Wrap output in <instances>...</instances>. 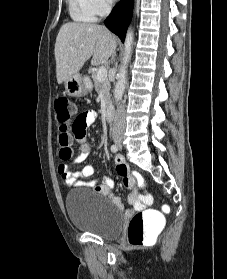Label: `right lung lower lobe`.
Segmentation results:
<instances>
[{"label":"right lung lower lobe","instance_id":"obj_1","mask_svg":"<svg viewBox=\"0 0 227 279\" xmlns=\"http://www.w3.org/2000/svg\"><path fill=\"white\" fill-rule=\"evenodd\" d=\"M132 9L133 0H121L104 21L106 27L115 33L122 42H124L126 30L132 17Z\"/></svg>","mask_w":227,"mask_h":279}]
</instances>
